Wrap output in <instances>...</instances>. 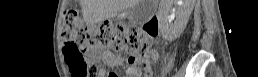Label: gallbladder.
Segmentation results:
<instances>
[{
  "label": "gallbladder",
  "mask_w": 258,
  "mask_h": 77,
  "mask_svg": "<svg viewBox=\"0 0 258 77\" xmlns=\"http://www.w3.org/2000/svg\"><path fill=\"white\" fill-rule=\"evenodd\" d=\"M155 3L151 0H140L137 5L128 12V19L137 25L147 21L154 13Z\"/></svg>",
  "instance_id": "gallbladder-1"
}]
</instances>
